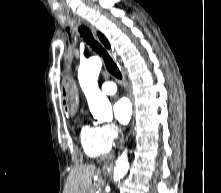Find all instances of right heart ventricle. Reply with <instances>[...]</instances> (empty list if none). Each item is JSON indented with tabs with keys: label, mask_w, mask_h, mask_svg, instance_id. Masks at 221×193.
I'll return each instance as SVG.
<instances>
[{
	"label": "right heart ventricle",
	"mask_w": 221,
	"mask_h": 193,
	"mask_svg": "<svg viewBox=\"0 0 221 193\" xmlns=\"http://www.w3.org/2000/svg\"><path fill=\"white\" fill-rule=\"evenodd\" d=\"M80 142L83 151L89 157L107 154L113 147L112 143L103 138L99 125L84 124L80 132Z\"/></svg>",
	"instance_id": "1"
}]
</instances>
